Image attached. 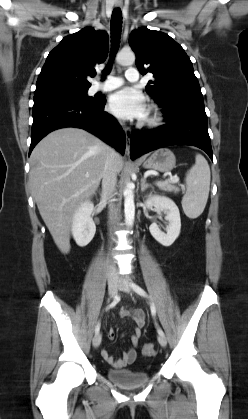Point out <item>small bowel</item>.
<instances>
[{
    "instance_id": "c3829d8e",
    "label": "small bowel",
    "mask_w": 248,
    "mask_h": 419,
    "mask_svg": "<svg viewBox=\"0 0 248 419\" xmlns=\"http://www.w3.org/2000/svg\"><path fill=\"white\" fill-rule=\"evenodd\" d=\"M121 317H131L135 323L134 331L131 335V347L128 348L121 358H114L107 350L102 351V356L107 363L116 369L123 368L127 365L132 364L137 357V347L142 334V329L145 326V313L139 309L122 308L119 312ZM107 336L110 340H113L116 336L115 331L109 329Z\"/></svg>"
}]
</instances>
